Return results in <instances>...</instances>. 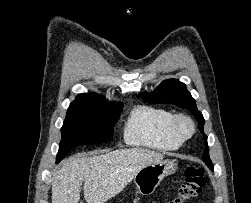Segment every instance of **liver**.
I'll return each mask as SVG.
<instances>
[{"label": "liver", "instance_id": "liver-1", "mask_svg": "<svg viewBox=\"0 0 251 203\" xmlns=\"http://www.w3.org/2000/svg\"><path fill=\"white\" fill-rule=\"evenodd\" d=\"M163 158V154L146 148L120 149L99 156L77 154L54 172L52 203H78L82 183L87 203H105L142 168Z\"/></svg>", "mask_w": 251, "mask_h": 203}]
</instances>
